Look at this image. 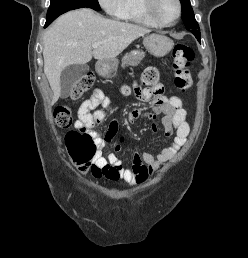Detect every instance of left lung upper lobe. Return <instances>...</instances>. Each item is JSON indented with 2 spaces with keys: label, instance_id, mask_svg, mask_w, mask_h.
Wrapping results in <instances>:
<instances>
[{
  "label": "left lung upper lobe",
  "instance_id": "left-lung-upper-lobe-1",
  "mask_svg": "<svg viewBox=\"0 0 248 258\" xmlns=\"http://www.w3.org/2000/svg\"><path fill=\"white\" fill-rule=\"evenodd\" d=\"M182 5V20L186 29L199 30V25L194 17V12L190 5V0H180Z\"/></svg>",
  "mask_w": 248,
  "mask_h": 258
}]
</instances>
